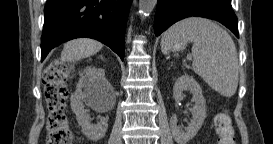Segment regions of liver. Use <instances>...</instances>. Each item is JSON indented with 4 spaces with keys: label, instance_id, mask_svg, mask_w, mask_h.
Segmentation results:
<instances>
[{
    "label": "liver",
    "instance_id": "liver-1",
    "mask_svg": "<svg viewBox=\"0 0 273 144\" xmlns=\"http://www.w3.org/2000/svg\"><path fill=\"white\" fill-rule=\"evenodd\" d=\"M103 44L99 41L89 38H79L67 42L61 53L62 62H74L80 59L90 57L99 52Z\"/></svg>",
    "mask_w": 273,
    "mask_h": 144
}]
</instances>
